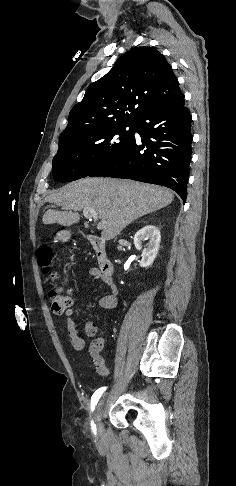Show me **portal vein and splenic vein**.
Wrapping results in <instances>:
<instances>
[{"label": "portal vein and splenic vein", "instance_id": "1", "mask_svg": "<svg viewBox=\"0 0 236 486\" xmlns=\"http://www.w3.org/2000/svg\"><path fill=\"white\" fill-rule=\"evenodd\" d=\"M84 217L87 219H93L94 222L97 221L98 215L93 209H84L83 210ZM106 223L104 221H101L97 224V229H103L105 227Z\"/></svg>", "mask_w": 236, "mask_h": 486}]
</instances>
